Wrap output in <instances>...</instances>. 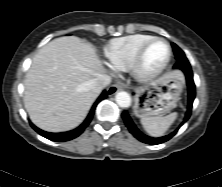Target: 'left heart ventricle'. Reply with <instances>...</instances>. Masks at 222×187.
Segmentation results:
<instances>
[{
	"label": "left heart ventricle",
	"instance_id": "1",
	"mask_svg": "<svg viewBox=\"0 0 222 187\" xmlns=\"http://www.w3.org/2000/svg\"><path fill=\"white\" fill-rule=\"evenodd\" d=\"M168 48L164 43L156 42L147 51L145 57V69L148 71L158 68L166 59Z\"/></svg>",
	"mask_w": 222,
	"mask_h": 187
}]
</instances>
